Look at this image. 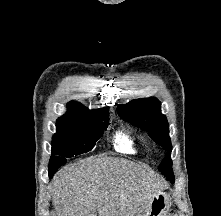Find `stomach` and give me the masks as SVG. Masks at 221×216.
Listing matches in <instances>:
<instances>
[{"label": "stomach", "instance_id": "obj_1", "mask_svg": "<svg viewBox=\"0 0 221 216\" xmlns=\"http://www.w3.org/2000/svg\"><path fill=\"white\" fill-rule=\"evenodd\" d=\"M169 207V196L165 192L160 191L153 196L150 206L144 216H167Z\"/></svg>", "mask_w": 221, "mask_h": 216}]
</instances>
